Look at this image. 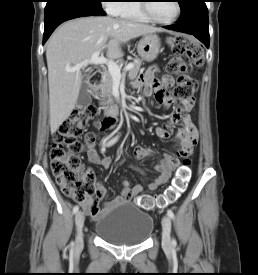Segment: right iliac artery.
<instances>
[{
  "label": "right iliac artery",
  "instance_id": "1",
  "mask_svg": "<svg viewBox=\"0 0 258 275\" xmlns=\"http://www.w3.org/2000/svg\"><path fill=\"white\" fill-rule=\"evenodd\" d=\"M118 138H119V136H116L115 138H113L112 140H110L107 144H106V146H111V145H113L114 143H116V141L118 140ZM78 210H79V207L76 205V206H74V208H73V213L74 214H76L77 212H78ZM74 246V243L72 242L71 243V247H73Z\"/></svg>",
  "mask_w": 258,
  "mask_h": 275
}]
</instances>
